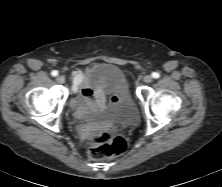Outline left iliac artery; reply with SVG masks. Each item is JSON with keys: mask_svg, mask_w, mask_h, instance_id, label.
<instances>
[{"mask_svg": "<svg viewBox=\"0 0 222 187\" xmlns=\"http://www.w3.org/2000/svg\"><path fill=\"white\" fill-rule=\"evenodd\" d=\"M152 77H153V78H159V77H160V75H159V73L154 72V73H152Z\"/></svg>", "mask_w": 222, "mask_h": 187, "instance_id": "1", "label": "left iliac artery"}]
</instances>
